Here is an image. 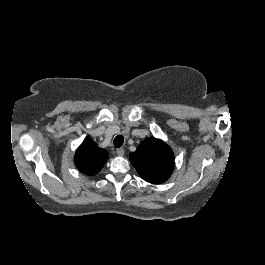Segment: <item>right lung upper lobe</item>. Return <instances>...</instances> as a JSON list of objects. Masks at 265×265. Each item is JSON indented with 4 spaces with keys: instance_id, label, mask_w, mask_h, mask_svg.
<instances>
[{
    "instance_id": "right-lung-upper-lobe-1",
    "label": "right lung upper lobe",
    "mask_w": 265,
    "mask_h": 265,
    "mask_svg": "<svg viewBox=\"0 0 265 265\" xmlns=\"http://www.w3.org/2000/svg\"><path fill=\"white\" fill-rule=\"evenodd\" d=\"M107 159L108 153L99 148L90 137H86L76 151L74 162L82 173L91 176L101 170Z\"/></svg>"
}]
</instances>
